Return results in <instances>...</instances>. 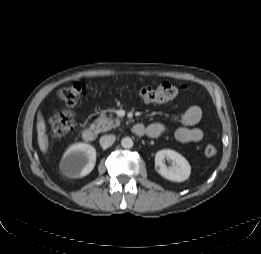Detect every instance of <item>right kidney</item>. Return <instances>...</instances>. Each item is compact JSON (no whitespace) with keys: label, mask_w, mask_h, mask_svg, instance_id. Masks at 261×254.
Here are the masks:
<instances>
[{"label":"right kidney","mask_w":261,"mask_h":254,"mask_svg":"<svg viewBox=\"0 0 261 254\" xmlns=\"http://www.w3.org/2000/svg\"><path fill=\"white\" fill-rule=\"evenodd\" d=\"M95 163V148L90 144L77 143L64 153L60 168L66 177L80 178L88 175L93 170Z\"/></svg>","instance_id":"obj_1"}]
</instances>
